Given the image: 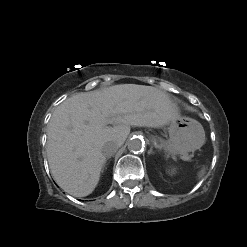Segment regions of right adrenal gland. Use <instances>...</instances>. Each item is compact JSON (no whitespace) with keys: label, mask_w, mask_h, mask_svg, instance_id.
<instances>
[{"label":"right adrenal gland","mask_w":247,"mask_h":247,"mask_svg":"<svg viewBox=\"0 0 247 247\" xmlns=\"http://www.w3.org/2000/svg\"><path fill=\"white\" fill-rule=\"evenodd\" d=\"M110 157H108L107 159H106V162H107V160L109 159ZM106 162H105V164H104V167H103V170H104V168H106Z\"/></svg>","instance_id":"1"}]
</instances>
